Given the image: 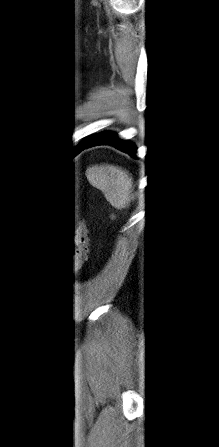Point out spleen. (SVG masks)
Wrapping results in <instances>:
<instances>
[{
	"label": "spleen",
	"instance_id": "spleen-1",
	"mask_svg": "<svg viewBox=\"0 0 219 447\" xmlns=\"http://www.w3.org/2000/svg\"><path fill=\"white\" fill-rule=\"evenodd\" d=\"M86 175L90 184L101 190L113 207L122 209L129 205L133 182L127 171L102 164L89 167Z\"/></svg>",
	"mask_w": 219,
	"mask_h": 447
}]
</instances>
